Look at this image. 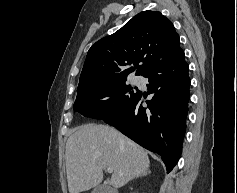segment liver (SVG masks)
I'll use <instances>...</instances> for the list:
<instances>
[{
	"instance_id": "obj_1",
	"label": "liver",
	"mask_w": 237,
	"mask_h": 193,
	"mask_svg": "<svg viewBox=\"0 0 237 193\" xmlns=\"http://www.w3.org/2000/svg\"><path fill=\"white\" fill-rule=\"evenodd\" d=\"M70 193L98 186L103 170L113 168L110 184L124 186L150 165L147 152L116 129L103 124H84L68 138L65 152Z\"/></svg>"
}]
</instances>
